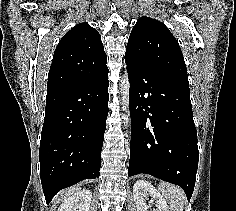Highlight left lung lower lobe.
<instances>
[{"mask_svg": "<svg viewBox=\"0 0 236 211\" xmlns=\"http://www.w3.org/2000/svg\"><path fill=\"white\" fill-rule=\"evenodd\" d=\"M125 62L131 116L128 175L146 173L177 184L190 200L199 159L190 89Z\"/></svg>", "mask_w": 236, "mask_h": 211, "instance_id": "1", "label": "left lung lower lobe"}]
</instances>
